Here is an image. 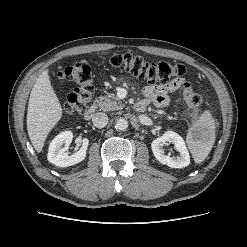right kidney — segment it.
Listing matches in <instances>:
<instances>
[{
    "mask_svg": "<svg viewBox=\"0 0 247 247\" xmlns=\"http://www.w3.org/2000/svg\"><path fill=\"white\" fill-rule=\"evenodd\" d=\"M72 139L73 133L71 131L58 134L50 143L47 155L48 161L59 167H68L83 161L86 157L89 140L84 138L81 148L76 153L69 155L66 150ZM63 144H65V147H62Z\"/></svg>",
    "mask_w": 247,
    "mask_h": 247,
    "instance_id": "obj_1",
    "label": "right kidney"
}]
</instances>
